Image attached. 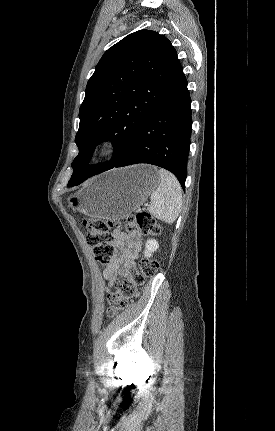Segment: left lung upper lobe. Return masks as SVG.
Here are the masks:
<instances>
[{"instance_id":"1","label":"left lung upper lobe","mask_w":275,"mask_h":431,"mask_svg":"<svg viewBox=\"0 0 275 431\" xmlns=\"http://www.w3.org/2000/svg\"><path fill=\"white\" fill-rule=\"evenodd\" d=\"M179 64L171 42L151 30L131 33L104 53L79 110L75 137L79 154L72 163V177L93 176L125 153ZM105 139L113 142L116 155L107 163L89 165L95 146Z\"/></svg>"}]
</instances>
